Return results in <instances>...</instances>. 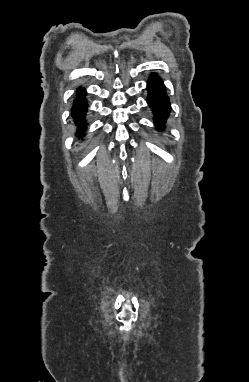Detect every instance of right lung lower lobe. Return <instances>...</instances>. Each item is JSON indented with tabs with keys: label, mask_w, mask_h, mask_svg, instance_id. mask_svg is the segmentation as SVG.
Here are the masks:
<instances>
[{
	"label": "right lung lower lobe",
	"mask_w": 249,
	"mask_h": 382,
	"mask_svg": "<svg viewBox=\"0 0 249 382\" xmlns=\"http://www.w3.org/2000/svg\"><path fill=\"white\" fill-rule=\"evenodd\" d=\"M86 92L84 89L79 88L78 92L76 93L73 107H72V117L75 121V124L78 126L79 129V137H82L85 130H86V124L84 122V118L87 112V101L85 99Z\"/></svg>",
	"instance_id": "1"
}]
</instances>
